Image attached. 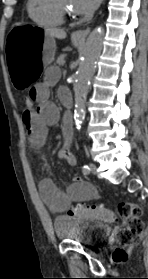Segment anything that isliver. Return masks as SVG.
<instances>
[{"mask_svg": "<svg viewBox=\"0 0 148 279\" xmlns=\"http://www.w3.org/2000/svg\"><path fill=\"white\" fill-rule=\"evenodd\" d=\"M44 31L47 35H49L52 38H54V37L57 39L66 38V32L63 29L46 27V28H44Z\"/></svg>", "mask_w": 148, "mask_h": 279, "instance_id": "liver-1", "label": "liver"}]
</instances>
